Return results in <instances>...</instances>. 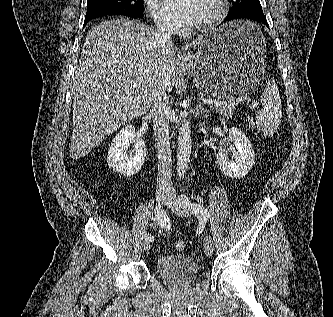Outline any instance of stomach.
<instances>
[{
    "label": "stomach",
    "instance_id": "obj_1",
    "mask_svg": "<svg viewBox=\"0 0 333 317\" xmlns=\"http://www.w3.org/2000/svg\"><path fill=\"white\" fill-rule=\"evenodd\" d=\"M265 49L261 24L235 21L207 34L185 66L200 90L236 101L262 95L270 82V75H264Z\"/></svg>",
    "mask_w": 333,
    "mask_h": 317
}]
</instances>
